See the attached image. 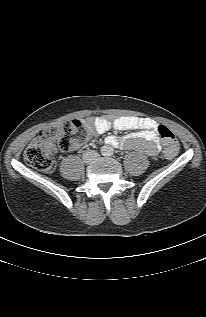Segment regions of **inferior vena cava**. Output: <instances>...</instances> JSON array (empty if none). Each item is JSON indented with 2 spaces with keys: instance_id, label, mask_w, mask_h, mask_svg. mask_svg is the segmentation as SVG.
Masks as SVG:
<instances>
[{
  "instance_id": "602c4592",
  "label": "inferior vena cava",
  "mask_w": 206,
  "mask_h": 317,
  "mask_svg": "<svg viewBox=\"0 0 206 317\" xmlns=\"http://www.w3.org/2000/svg\"><path fill=\"white\" fill-rule=\"evenodd\" d=\"M97 156H98V153H96L95 151H91V152H86V153H84L85 159H86V158H89V157L94 158V157H97Z\"/></svg>"
}]
</instances>
